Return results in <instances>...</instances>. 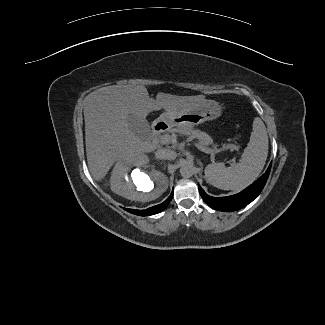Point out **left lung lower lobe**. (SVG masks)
I'll use <instances>...</instances> for the list:
<instances>
[{
	"label": "left lung lower lobe",
	"instance_id": "0a47b994",
	"mask_svg": "<svg viewBox=\"0 0 325 325\" xmlns=\"http://www.w3.org/2000/svg\"><path fill=\"white\" fill-rule=\"evenodd\" d=\"M271 170V163L266 172L253 184L238 194L226 197H212L204 192L201 186L198 184L199 192L203 200L213 209L231 212L239 210L249 203H251L262 191L266 184L269 173Z\"/></svg>",
	"mask_w": 325,
	"mask_h": 325
}]
</instances>
